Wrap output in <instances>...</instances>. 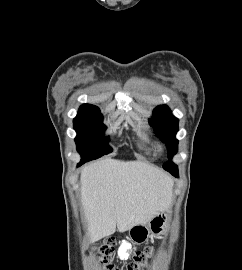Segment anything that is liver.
<instances>
[{"label":"liver","instance_id":"1","mask_svg":"<svg viewBox=\"0 0 242 270\" xmlns=\"http://www.w3.org/2000/svg\"><path fill=\"white\" fill-rule=\"evenodd\" d=\"M81 202L91 241L147 224L171 204L173 180L141 161L103 159L83 168Z\"/></svg>","mask_w":242,"mask_h":270}]
</instances>
